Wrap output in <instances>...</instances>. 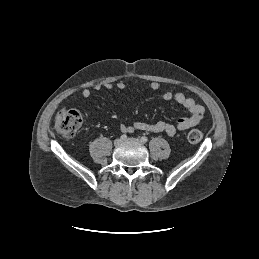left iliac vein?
<instances>
[{
	"label": "left iliac vein",
	"instance_id": "obj_1",
	"mask_svg": "<svg viewBox=\"0 0 259 259\" xmlns=\"http://www.w3.org/2000/svg\"><path fill=\"white\" fill-rule=\"evenodd\" d=\"M127 142L142 143V141L137 138H128Z\"/></svg>",
	"mask_w": 259,
	"mask_h": 259
}]
</instances>
